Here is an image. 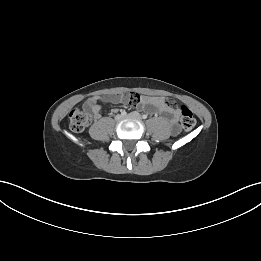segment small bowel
<instances>
[{"label":"small bowel","mask_w":261,"mask_h":261,"mask_svg":"<svg viewBox=\"0 0 261 261\" xmlns=\"http://www.w3.org/2000/svg\"><path fill=\"white\" fill-rule=\"evenodd\" d=\"M99 102L110 104H136V107L142 111L158 114L163 117L170 124L172 132L174 134L178 133L180 111L164 97L146 96L144 94H136L135 92L126 93L125 95L92 96L84 101L83 108L91 112L95 119L101 118V106Z\"/></svg>","instance_id":"small-bowel-1"}]
</instances>
